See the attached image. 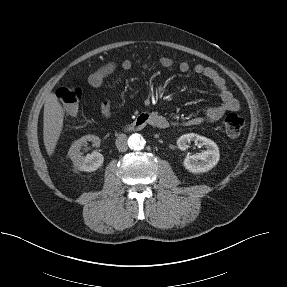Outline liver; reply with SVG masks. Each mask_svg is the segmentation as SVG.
Instances as JSON below:
<instances>
[{"mask_svg":"<svg viewBox=\"0 0 287 287\" xmlns=\"http://www.w3.org/2000/svg\"><path fill=\"white\" fill-rule=\"evenodd\" d=\"M64 120V109L54 93H48L45 98L43 115V140L47 154L54 153L60 137Z\"/></svg>","mask_w":287,"mask_h":287,"instance_id":"6515ba94","label":"liver"}]
</instances>
